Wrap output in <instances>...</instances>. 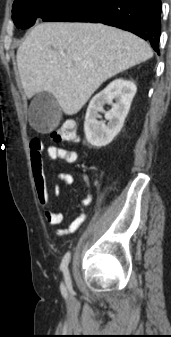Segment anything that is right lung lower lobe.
<instances>
[{
    "label": "right lung lower lobe",
    "instance_id": "98d812e1",
    "mask_svg": "<svg viewBox=\"0 0 171 337\" xmlns=\"http://www.w3.org/2000/svg\"><path fill=\"white\" fill-rule=\"evenodd\" d=\"M161 0H67L44 21L103 23L148 40L159 54Z\"/></svg>",
    "mask_w": 171,
    "mask_h": 337
}]
</instances>
